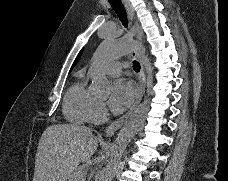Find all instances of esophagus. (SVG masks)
Masks as SVG:
<instances>
[{
  "instance_id": "esophagus-1",
  "label": "esophagus",
  "mask_w": 228,
  "mask_h": 181,
  "mask_svg": "<svg viewBox=\"0 0 228 181\" xmlns=\"http://www.w3.org/2000/svg\"><path fill=\"white\" fill-rule=\"evenodd\" d=\"M122 3L124 4L127 13L130 17V20L132 21V28L130 30V33H134L136 35V38L141 44V38H142V32H141V27L140 25L136 22L135 20V11L134 8L132 7V4L130 3L129 0H122ZM131 55L134 58H137L140 61L141 64V74L139 77V93L136 96V99L131 106V108L125 113V115L121 116V118L117 119L113 123H111L109 126H107L105 133L107 136L112 137L116 133L119 128L125 123L127 118L133 113V111L137 108L139 105L140 101L143 98V95L145 94L146 90V73H145V57H144V51L140 47L134 50Z\"/></svg>"
}]
</instances>
